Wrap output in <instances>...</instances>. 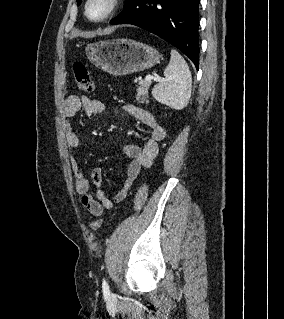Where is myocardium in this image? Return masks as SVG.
Segmentation results:
<instances>
[{"instance_id": "myocardium-1", "label": "myocardium", "mask_w": 284, "mask_h": 319, "mask_svg": "<svg viewBox=\"0 0 284 319\" xmlns=\"http://www.w3.org/2000/svg\"><path fill=\"white\" fill-rule=\"evenodd\" d=\"M91 2L92 0L85 1L84 15L90 22H93V23H101V22H105L109 20L111 17L115 15V13L118 11L121 4V0H108V9L106 13L100 18H92L88 12V8Z\"/></svg>"}]
</instances>
